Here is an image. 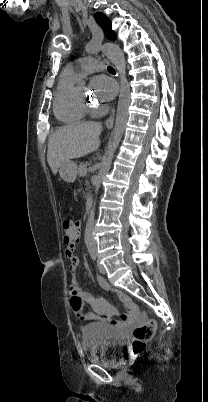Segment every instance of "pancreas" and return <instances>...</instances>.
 <instances>
[{
  "instance_id": "obj_1",
  "label": "pancreas",
  "mask_w": 208,
  "mask_h": 402,
  "mask_svg": "<svg viewBox=\"0 0 208 402\" xmlns=\"http://www.w3.org/2000/svg\"><path fill=\"white\" fill-rule=\"evenodd\" d=\"M86 166H87V164H80V166L78 168V174H82L83 170H86ZM86 186H88V188H90L88 182H86ZM87 194H89V192H87Z\"/></svg>"
}]
</instances>
